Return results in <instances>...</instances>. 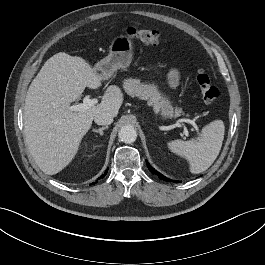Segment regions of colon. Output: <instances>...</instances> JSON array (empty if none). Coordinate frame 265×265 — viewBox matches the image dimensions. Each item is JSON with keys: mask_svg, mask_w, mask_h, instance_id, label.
Segmentation results:
<instances>
[{"mask_svg": "<svg viewBox=\"0 0 265 265\" xmlns=\"http://www.w3.org/2000/svg\"><path fill=\"white\" fill-rule=\"evenodd\" d=\"M127 34L130 38L145 44H158L162 35L159 31L153 29H139L129 27ZM197 83L205 103L213 104L218 101L219 89L212 83L210 76L205 70H200L197 75Z\"/></svg>", "mask_w": 265, "mask_h": 265, "instance_id": "5ec220e1", "label": "colon"}]
</instances>
